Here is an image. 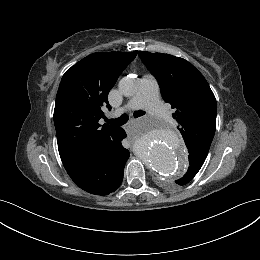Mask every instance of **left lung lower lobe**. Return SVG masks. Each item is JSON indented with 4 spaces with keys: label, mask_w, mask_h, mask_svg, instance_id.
<instances>
[{
    "label": "left lung lower lobe",
    "mask_w": 260,
    "mask_h": 260,
    "mask_svg": "<svg viewBox=\"0 0 260 260\" xmlns=\"http://www.w3.org/2000/svg\"><path fill=\"white\" fill-rule=\"evenodd\" d=\"M203 161L197 155H189V167L186 174L176 181L179 185H185L190 182L194 176L198 173L203 165Z\"/></svg>",
    "instance_id": "0a47b994"
}]
</instances>
